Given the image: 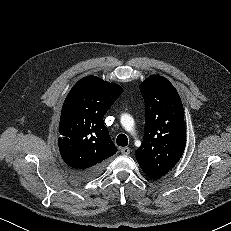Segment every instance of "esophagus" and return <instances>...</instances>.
<instances>
[{
	"label": "esophagus",
	"instance_id": "34e87169",
	"mask_svg": "<svg viewBox=\"0 0 231 231\" xmlns=\"http://www.w3.org/2000/svg\"><path fill=\"white\" fill-rule=\"evenodd\" d=\"M130 148H128V147H124V148H122L121 149V153L123 154V155H129L130 154Z\"/></svg>",
	"mask_w": 231,
	"mask_h": 231
}]
</instances>
